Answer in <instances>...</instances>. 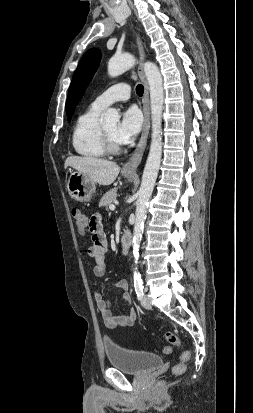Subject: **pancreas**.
<instances>
[{
    "mask_svg": "<svg viewBox=\"0 0 253 413\" xmlns=\"http://www.w3.org/2000/svg\"><path fill=\"white\" fill-rule=\"evenodd\" d=\"M117 189H111L110 191L106 192L100 200L99 206L108 207L113 204L117 197Z\"/></svg>",
    "mask_w": 253,
    "mask_h": 413,
    "instance_id": "pancreas-1",
    "label": "pancreas"
}]
</instances>
